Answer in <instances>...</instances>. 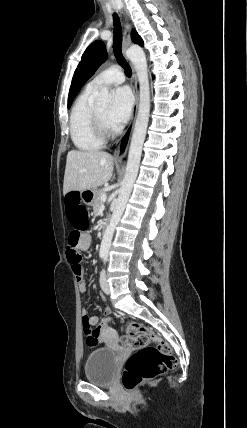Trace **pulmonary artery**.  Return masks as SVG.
<instances>
[{
  "mask_svg": "<svg viewBox=\"0 0 247 428\" xmlns=\"http://www.w3.org/2000/svg\"><path fill=\"white\" fill-rule=\"evenodd\" d=\"M125 80L124 74L119 66H112L95 76L88 87L98 89L102 86L119 85Z\"/></svg>",
  "mask_w": 247,
  "mask_h": 428,
  "instance_id": "pulmonary-artery-1",
  "label": "pulmonary artery"
}]
</instances>
